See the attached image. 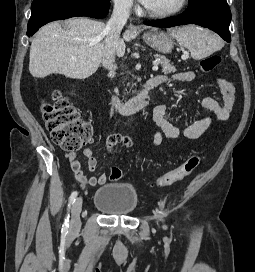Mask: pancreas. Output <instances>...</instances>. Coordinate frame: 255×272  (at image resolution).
Instances as JSON below:
<instances>
[{"label": "pancreas", "mask_w": 255, "mask_h": 272, "mask_svg": "<svg viewBox=\"0 0 255 272\" xmlns=\"http://www.w3.org/2000/svg\"><path fill=\"white\" fill-rule=\"evenodd\" d=\"M154 57L161 64V66H162V72L164 74H169V73L176 72V67L172 63H170V60H168L167 58H165L164 56L159 55V54H155Z\"/></svg>", "instance_id": "1"}]
</instances>
